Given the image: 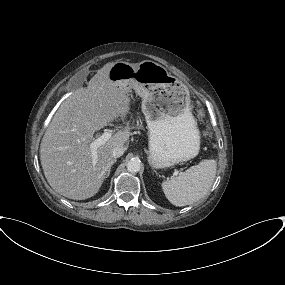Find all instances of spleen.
<instances>
[{"label": "spleen", "instance_id": "1", "mask_svg": "<svg viewBox=\"0 0 285 285\" xmlns=\"http://www.w3.org/2000/svg\"><path fill=\"white\" fill-rule=\"evenodd\" d=\"M217 170L213 159L203 160L177 177L162 182L166 198L175 206L191 205L203 198L210 190Z\"/></svg>", "mask_w": 285, "mask_h": 285}]
</instances>
